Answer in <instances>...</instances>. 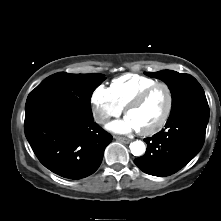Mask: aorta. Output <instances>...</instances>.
<instances>
[{"mask_svg": "<svg viewBox=\"0 0 221 221\" xmlns=\"http://www.w3.org/2000/svg\"><path fill=\"white\" fill-rule=\"evenodd\" d=\"M130 150L134 156H141L145 153L146 147L142 141H134L130 143Z\"/></svg>", "mask_w": 221, "mask_h": 221, "instance_id": "aorta-1", "label": "aorta"}]
</instances>
